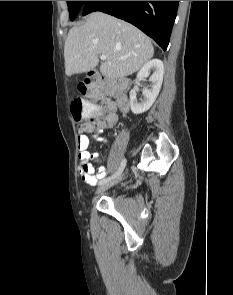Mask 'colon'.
<instances>
[{"instance_id": "1", "label": "colon", "mask_w": 233, "mask_h": 295, "mask_svg": "<svg viewBox=\"0 0 233 295\" xmlns=\"http://www.w3.org/2000/svg\"><path fill=\"white\" fill-rule=\"evenodd\" d=\"M124 82L112 78H102L90 76L78 85V91L81 98L72 101L71 111L76 121L94 117L97 113V107L94 101L105 94L121 92L125 88Z\"/></svg>"}]
</instances>
